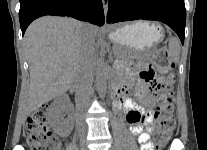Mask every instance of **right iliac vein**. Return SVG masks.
I'll list each match as a JSON object with an SVG mask.
<instances>
[{"instance_id": "right-iliac-vein-1", "label": "right iliac vein", "mask_w": 207, "mask_h": 150, "mask_svg": "<svg viewBox=\"0 0 207 150\" xmlns=\"http://www.w3.org/2000/svg\"><path fill=\"white\" fill-rule=\"evenodd\" d=\"M80 150H87V149H86L85 145H81Z\"/></svg>"}]
</instances>
